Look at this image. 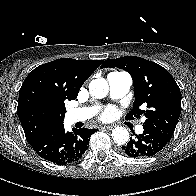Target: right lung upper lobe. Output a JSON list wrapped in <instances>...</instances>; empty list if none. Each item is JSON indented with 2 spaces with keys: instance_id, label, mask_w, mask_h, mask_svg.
<instances>
[{
  "instance_id": "obj_1",
  "label": "right lung upper lobe",
  "mask_w": 196,
  "mask_h": 196,
  "mask_svg": "<svg viewBox=\"0 0 196 196\" xmlns=\"http://www.w3.org/2000/svg\"><path fill=\"white\" fill-rule=\"evenodd\" d=\"M102 62L57 59L27 76L19 91L17 113L30 144L63 125L64 101L76 99L83 83Z\"/></svg>"
}]
</instances>
